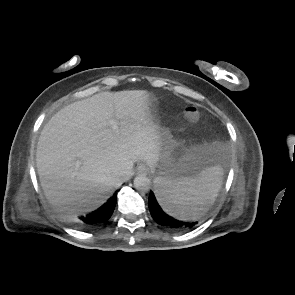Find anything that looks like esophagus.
<instances>
[{
	"instance_id": "1",
	"label": "esophagus",
	"mask_w": 295,
	"mask_h": 295,
	"mask_svg": "<svg viewBox=\"0 0 295 295\" xmlns=\"http://www.w3.org/2000/svg\"><path fill=\"white\" fill-rule=\"evenodd\" d=\"M136 171L138 174H146L148 172V167L144 164H140L138 165Z\"/></svg>"
}]
</instances>
